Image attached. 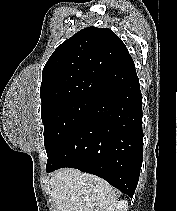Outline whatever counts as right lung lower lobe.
I'll return each mask as SVG.
<instances>
[{
  "mask_svg": "<svg viewBox=\"0 0 178 211\" xmlns=\"http://www.w3.org/2000/svg\"><path fill=\"white\" fill-rule=\"evenodd\" d=\"M142 95L136 76L101 96L48 157L46 171L72 167L133 197L142 165Z\"/></svg>",
  "mask_w": 178,
  "mask_h": 211,
  "instance_id": "98d812e1",
  "label": "right lung lower lobe"
}]
</instances>
